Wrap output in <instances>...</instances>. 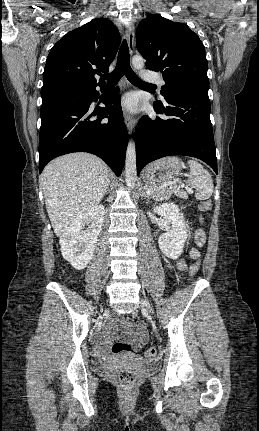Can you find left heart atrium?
I'll return each instance as SVG.
<instances>
[{
  "label": "left heart atrium",
  "mask_w": 259,
  "mask_h": 431,
  "mask_svg": "<svg viewBox=\"0 0 259 431\" xmlns=\"http://www.w3.org/2000/svg\"><path fill=\"white\" fill-rule=\"evenodd\" d=\"M122 106L130 111H135L137 109V99L134 94L130 93L124 96L122 100Z\"/></svg>",
  "instance_id": "39dd6f15"
}]
</instances>
